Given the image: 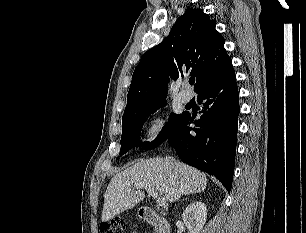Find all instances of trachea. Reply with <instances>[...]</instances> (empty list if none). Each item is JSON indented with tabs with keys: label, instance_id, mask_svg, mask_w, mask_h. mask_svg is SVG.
<instances>
[{
	"label": "trachea",
	"instance_id": "obj_1",
	"mask_svg": "<svg viewBox=\"0 0 306 233\" xmlns=\"http://www.w3.org/2000/svg\"><path fill=\"white\" fill-rule=\"evenodd\" d=\"M194 82H195V78H190V79H189V83H190L191 85H193Z\"/></svg>",
	"mask_w": 306,
	"mask_h": 233
}]
</instances>
